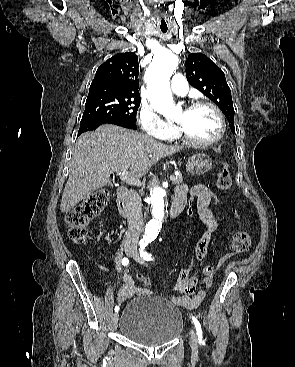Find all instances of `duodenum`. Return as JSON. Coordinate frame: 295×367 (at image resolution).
I'll return each mask as SVG.
<instances>
[{"label": "duodenum", "mask_w": 295, "mask_h": 367, "mask_svg": "<svg viewBox=\"0 0 295 367\" xmlns=\"http://www.w3.org/2000/svg\"><path fill=\"white\" fill-rule=\"evenodd\" d=\"M117 207L120 215L124 218H129L132 213V206L130 203L129 190L126 187H120L117 190ZM184 208V203L179 200H174L170 207V216L175 217L181 213Z\"/></svg>", "instance_id": "1"}]
</instances>
